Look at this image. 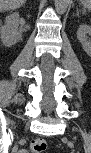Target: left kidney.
Instances as JSON below:
<instances>
[{
  "label": "left kidney",
  "mask_w": 91,
  "mask_h": 153,
  "mask_svg": "<svg viewBox=\"0 0 91 153\" xmlns=\"http://www.w3.org/2000/svg\"><path fill=\"white\" fill-rule=\"evenodd\" d=\"M91 32L89 25H81L77 30V38L81 42L84 51L89 55L91 54V44L87 41L86 35Z\"/></svg>",
  "instance_id": "1"
}]
</instances>
